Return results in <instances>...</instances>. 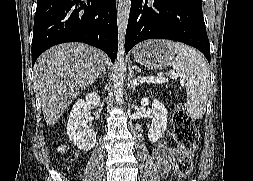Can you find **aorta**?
<instances>
[{
  "label": "aorta",
  "instance_id": "762f6f07",
  "mask_svg": "<svg viewBox=\"0 0 253 181\" xmlns=\"http://www.w3.org/2000/svg\"><path fill=\"white\" fill-rule=\"evenodd\" d=\"M131 0H117V31H118V50L113 66L114 95L118 104L123 103V83L125 79V37Z\"/></svg>",
  "mask_w": 253,
  "mask_h": 181
}]
</instances>
